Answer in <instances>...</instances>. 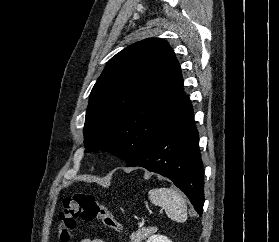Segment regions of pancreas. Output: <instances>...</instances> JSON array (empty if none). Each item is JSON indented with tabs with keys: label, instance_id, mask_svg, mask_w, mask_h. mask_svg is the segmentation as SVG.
I'll use <instances>...</instances> for the list:
<instances>
[{
	"label": "pancreas",
	"instance_id": "obj_1",
	"mask_svg": "<svg viewBox=\"0 0 279 242\" xmlns=\"http://www.w3.org/2000/svg\"><path fill=\"white\" fill-rule=\"evenodd\" d=\"M152 232L153 230L149 228L139 229L137 232L132 233L130 242H142V240L146 239Z\"/></svg>",
	"mask_w": 279,
	"mask_h": 242
}]
</instances>
